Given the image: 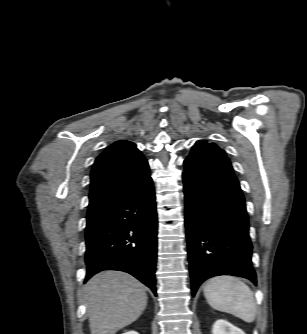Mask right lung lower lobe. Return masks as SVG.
Instances as JSON below:
<instances>
[{
  "label": "right lung lower lobe",
  "instance_id": "98d812e1",
  "mask_svg": "<svg viewBox=\"0 0 307 334\" xmlns=\"http://www.w3.org/2000/svg\"><path fill=\"white\" fill-rule=\"evenodd\" d=\"M157 225L151 179L92 217L85 231V282L102 270H119L156 294Z\"/></svg>",
  "mask_w": 307,
  "mask_h": 334
}]
</instances>
